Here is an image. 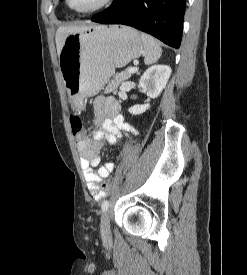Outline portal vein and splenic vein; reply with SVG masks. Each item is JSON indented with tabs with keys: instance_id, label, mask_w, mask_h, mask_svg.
<instances>
[{
	"instance_id": "18ae733b",
	"label": "portal vein and splenic vein",
	"mask_w": 247,
	"mask_h": 275,
	"mask_svg": "<svg viewBox=\"0 0 247 275\" xmlns=\"http://www.w3.org/2000/svg\"><path fill=\"white\" fill-rule=\"evenodd\" d=\"M129 73L133 74V73H136L138 71V68L137 67H131L127 70Z\"/></svg>"
}]
</instances>
